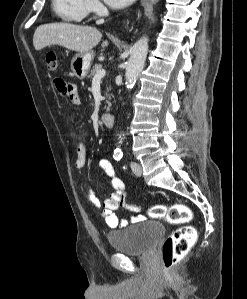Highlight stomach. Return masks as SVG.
I'll use <instances>...</instances> for the list:
<instances>
[{
  "label": "stomach",
  "instance_id": "stomach-1",
  "mask_svg": "<svg viewBox=\"0 0 247 299\" xmlns=\"http://www.w3.org/2000/svg\"><path fill=\"white\" fill-rule=\"evenodd\" d=\"M93 59V51L76 54L71 61L73 75L78 79H84L90 70Z\"/></svg>",
  "mask_w": 247,
  "mask_h": 299
}]
</instances>
